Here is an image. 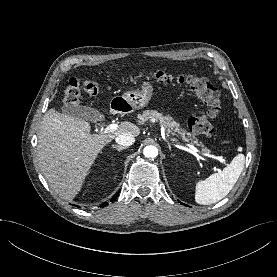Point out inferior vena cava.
<instances>
[{
    "instance_id": "1",
    "label": "inferior vena cava",
    "mask_w": 277,
    "mask_h": 277,
    "mask_svg": "<svg viewBox=\"0 0 277 277\" xmlns=\"http://www.w3.org/2000/svg\"><path fill=\"white\" fill-rule=\"evenodd\" d=\"M116 143L123 147L131 146L135 142L132 134L124 133L116 137Z\"/></svg>"
}]
</instances>
